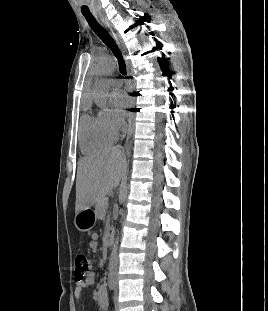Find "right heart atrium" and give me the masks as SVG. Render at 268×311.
Instances as JSON below:
<instances>
[{
	"mask_svg": "<svg viewBox=\"0 0 268 311\" xmlns=\"http://www.w3.org/2000/svg\"><path fill=\"white\" fill-rule=\"evenodd\" d=\"M102 118L104 119L107 126L116 134H118L124 127V123L117 112L106 109L101 113Z\"/></svg>",
	"mask_w": 268,
	"mask_h": 311,
	"instance_id": "obj_1",
	"label": "right heart atrium"
}]
</instances>
